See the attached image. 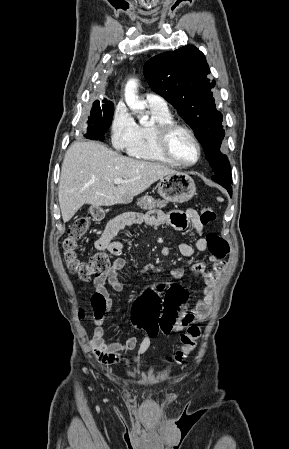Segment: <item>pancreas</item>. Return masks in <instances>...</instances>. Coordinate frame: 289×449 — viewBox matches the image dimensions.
Segmentation results:
<instances>
[{"label":"pancreas","instance_id":"obj_1","mask_svg":"<svg viewBox=\"0 0 289 449\" xmlns=\"http://www.w3.org/2000/svg\"><path fill=\"white\" fill-rule=\"evenodd\" d=\"M142 210H149L154 208H164L167 204V201L164 200H155L154 198L145 195L144 197L138 199L136 203Z\"/></svg>","mask_w":289,"mask_h":449}]
</instances>
